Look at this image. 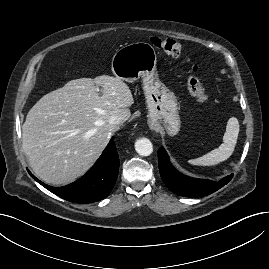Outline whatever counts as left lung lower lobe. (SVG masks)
I'll return each mask as SVG.
<instances>
[{
    "label": "left lung lower lobe",
    "mask_w": 269,
    "mask_h": 269,
    "mask_svg": "<svg viewBox=\"0 0 269 269\" xmlns=\"http://www.w3.org/2000/svg\"><path fill=\"white\" fill-rule=\"evenodd\" d=\"M158 163L161 178L166 186L175 194L184 197L209 195L226 185L233 177L231 174L217 182L185 176L171 165L163 147L158 150Z\"/></svg>",
    "instance_id": "0a47b994"
}]
</instances>
